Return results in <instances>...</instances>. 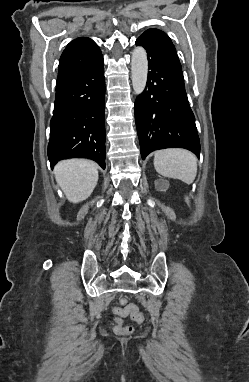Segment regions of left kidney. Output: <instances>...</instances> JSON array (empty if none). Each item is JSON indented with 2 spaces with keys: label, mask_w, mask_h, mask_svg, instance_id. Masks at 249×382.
<instances>
[{
  "label": "left kidney",
  "mask_w": 249,
  "mask_h": 382,
  "mask_svg": "<svg viewBox=\"0 0 249 382\" xmlns=\"http://www.w3.org/2000/svg\"><path fill=\"white\" fill-rule=\"evenodd\" d=\"M155 188L165 192L169 188V182L164 179H158L155 181Z\"/></svg>",
  "instance_id": "1"
}]
</instances>
